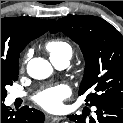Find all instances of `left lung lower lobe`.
<instances>
[{"instance_id": "1", "label": "left lung lower lobe", "mask_w": 123, "mask_h": 123, "mask_svg": "<svg viewBox=\"0 0 123 123\" xmlns=\"http://www.w3.org/2000/svg\"><path fill=\"white\" fill-rule=\"evenodd\" d=\"M97 118L90 117L86 121L85 116H68L75 123H123V99H106L96 106Z\"/></svg>"}]
</instances>
